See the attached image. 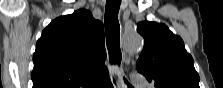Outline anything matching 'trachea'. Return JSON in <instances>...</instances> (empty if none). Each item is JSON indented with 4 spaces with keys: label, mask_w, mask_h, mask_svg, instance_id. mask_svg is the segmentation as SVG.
I'll list each match as a JSON object with an SVG mask.
<instances>
[{
    "label": "trachea",
    "mask_w": 223,
    "mask_h": 88,
    "mask_svg": "<svg viewBox=\"0 0 223 88\" xmlns=\"http://www.w3.org/2000/svg\"><path fill=\"white\" fill-rule=\"evenodd\" d=\"M121 0H107L105 9V28H106V43L109 53V61L111 64L120 65L121 50H120V25L118 23V11ZM128 86L129 82L124 79Z\"/></svg>",
    "instance_id": "3493384b"
}]
</instances>
